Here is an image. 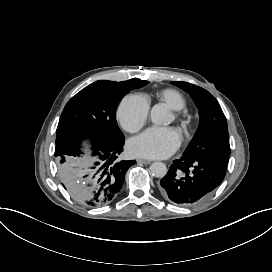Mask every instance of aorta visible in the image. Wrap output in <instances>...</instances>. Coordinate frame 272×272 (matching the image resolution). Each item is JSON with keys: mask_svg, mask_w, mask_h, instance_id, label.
Instances as JSON below:
<instances>
[{"mask_svg": "<svg viewBox=\"0 0 272 272\" xmlns=\"http://www.w3.org/2000/svg\"><path fill=\"white\" fill-rule=\"evenodd\" d=\"M168 107L166 104L153 105L150 110V117L153 123L162 124L166 120ZM151 174L156 178H163L167 174V167L162 162H154L150 166Z\"/></svg>", "mask_w": 272, "mask_h": 272, "instance_id": "aorta-1", "label": "aorta"}]
</instances>
